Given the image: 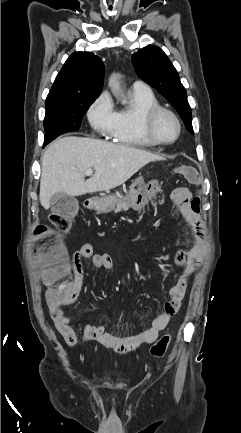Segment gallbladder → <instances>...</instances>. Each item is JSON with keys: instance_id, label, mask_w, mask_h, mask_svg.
I'll return each mask as SVG.
<instances>
[{"instance_id": "1", "label": "gallbladder", "mask_w": 241, "mask_h": 433, "mask_svg": "<svg viewBox=\"0 0 241 433\" xmlns=\"http://www.w3.org/2000/svg\"><path fill=\"white\" fill-rule=\"evenodd\" d=\"M67 200L69 203V206H67V209L69 210L70 214L74 216L77 213L78 210V202L73 197H68L63 192H57L50 198V205L54 206L58 201L60 200Z\"/></svg>"}]
</instances>
